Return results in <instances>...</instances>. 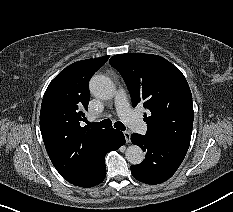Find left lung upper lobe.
Segmentation results:
<instances>
[{"mask_svg": "<svg viewBox=\"0 0 233 212\" xmlns=\"http://www.w3.org/2000/svg\"><path fill=\"white\" fill-rule=\"evenodd\" d=\"M109 62L122 75L133 106L141 102L151 112L144 114L146 135L188 149L194 112L191 91L181 71L153 54H119Z\"/></svg>", "mask_w": 233, "mask_h": 212, "instance_id": "1", "label": "left lung upper lobe"}]
</instances>
